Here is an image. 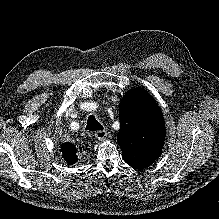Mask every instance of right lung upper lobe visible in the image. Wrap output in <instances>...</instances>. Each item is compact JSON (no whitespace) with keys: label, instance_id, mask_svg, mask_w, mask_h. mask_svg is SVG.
Returning a JSON list of instances; mask_svg holds the SVG:
<instances>
[{"label":"right lung upper lobe","instance_id":"cb5924a9","mask_svg":"<svg viewBox=\"0 0 219 219\" xmlns=\"http://www.w3.org/2000/svg\"><path fill=\"white\" fill-rule=\"evenodd\" d=\"M61 150L63 157L68 164H73L77 161L76 148L71 143H65L62 145Z\"/></svg>","mask_w":219,"mask_h":219}]
</instances>
